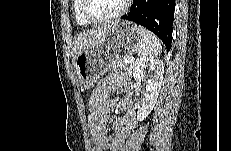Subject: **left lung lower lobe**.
I'll list each match as a JSON object with an SVG mask.
<instances>
[{"label": "left lung lower lobe", "mask_w": 231, "mask_h": 151, "mask_svg": "<svg viewBox=\"0 0 231 151\" xmlns=\"http://www.w3.org/2000/svg\"><path fill=\"white\" fill-rule=\"evenodd\" d=\"M175 0H133L131 10L122 19L140 24L155 33L171 48Z\"/></svg>", "instance_id": "1"}]
</instances>
